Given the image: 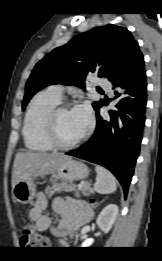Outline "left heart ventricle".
<instances>
[{
    "mask_svg": "<svg viewBox=\"0 0 162 261\" xmlns=\"http://www.w3.org/2000/svg\"><path fill=\"white\" fill-rule=\"evenodd\" d=\"M56 128L59 139L65 143L73 142L85 131L73 114V110H66L58 115Z\"/></svg>",
    "mask_w": 162,
    "mask_h": 261,
    "instance_id": "left-heart-ventricle-1",
    "label": "left heart ventricle"
}]
</instances>
